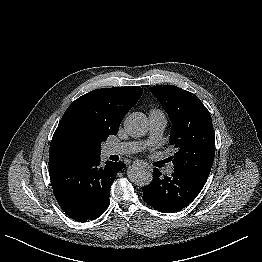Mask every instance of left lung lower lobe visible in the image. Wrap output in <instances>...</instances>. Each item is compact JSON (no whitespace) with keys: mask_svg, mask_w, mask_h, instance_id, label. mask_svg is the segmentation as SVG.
Segmentation results:
<instances>
[{"mask_svg":"<svg viewBox=\"0 0 262 262\" xmlns=\"http://www.w3.org/2000/svg\"><path fill=\"white\" fill-rule=\"evenodd\" d=\"M207 179L175 170L161 177L155 168L151 184L142 189L143 200L163 213H174L188 206L200 193Z\"/></svg>","mask_w":262,"mask_h":262,"instance_id":"obj_1","label":"left lung lower lobe"}]
</instances>
